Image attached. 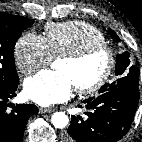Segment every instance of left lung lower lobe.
<instances>
[{"label": "left lung lower lobe", "mask_w": 142, "mask_h": 142, "mask_svg": "<svg viewBox=\"0 0 142 142\" xmlns=\"http://www.w3.org/2000/svg\"><path fill=\"white\" fill-rule=\"evenodd\" d=\"M139 102V85L128 84L84 101L88 116L71 117L65 142H117L130 129ZM81 107V106H79ZM80 119V120H79Z\"/></svg>", "instance_id": "1"}]
</instances>
